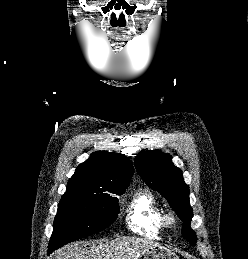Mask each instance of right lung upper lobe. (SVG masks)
<instances>
[{"instance_id": "obj_1", "label": "right lung upper lobe", "mask_w": 248, "mask_h": 259, "mask_svg": "<svg viewBox=\"0 0 248 259\" xmlns=\"http://www.w3.org/2000/svg\"><path fill=\"white\" fill-rule=\"evenodd\" d=\"M133 173L131 161L123 154L97 151L77 167L67 189H126Z\"/></svg>"}]
</instances>
